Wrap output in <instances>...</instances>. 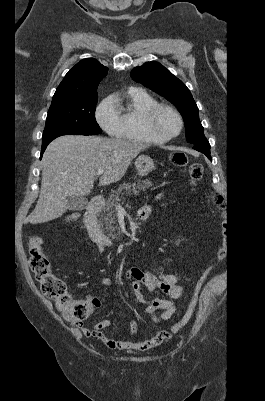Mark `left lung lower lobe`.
Instances as JSON below:
<instances>
[{
  "label": "left lung lower lobe",
  "instance_id": "left-lung-lower-lobe-1",
  "mask_svg": "<svg viewBox=\"0 0 265 401\" xmlns=\"http://www.w3.org/2000/svg\"><path fill=\"white\" fill-rule=\"evenodd\" d=\"M194 149L204 153L208 158H211L210 157V144L207 140L197 143L196 146H194Z\"/></svg>",
  "mask_w": 265,
  "mask_h": 401
}]
</instances>
